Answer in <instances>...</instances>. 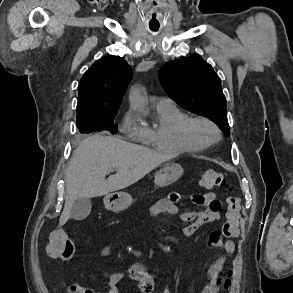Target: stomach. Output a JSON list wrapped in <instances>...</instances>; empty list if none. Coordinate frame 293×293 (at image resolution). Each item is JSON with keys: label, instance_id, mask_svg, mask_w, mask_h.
<instances>
[{"label": "stomach", "instance_id": "0dacf381", "mask_svg": "<svg viewBox=\"0 0 293 293\" xmlns=\"http://www.w3.org/2000/svg\"><path fill=\"white\" fill-rule=\"evenodd\" d=\"M183 174V168L177 163H166L155 175L157 187H165L176 182ZM132 203V197L126 192H114L104 199L105 207L111 211H121Z\"/></svg>", "mask_w": 293, "mask_h": 293}]
</instances>
